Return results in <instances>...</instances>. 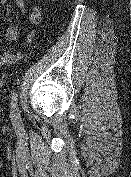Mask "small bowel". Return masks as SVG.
<instances>
[{"instance_id":"small-bowel-1","label":"small bowel","mask_w":131,"mask_h":177,"mask_svg":"<svg viewBox=\"0 0 131 177\" xmlns=\"http://www.w3.org/2000/svg\"><path fill=\"white\" fill-rule=\"evenodd\" d=\"M8 0H0V4L3 7L7 6ZM18 8L25 14L26 19L30 25H35L41 17V8L37 5H33L31 7L30 12L27 10V6L25 0H15ZM34 31H30V33L26 37V41H30L33 38ZM0 38H5L12 42H17L20 39V35L18 30L15 27H7L0 30ZM22 54L18 51H5L0 53V66L5 63H11L17 61L21 58Z\"/></svg>"}]
</instances>
